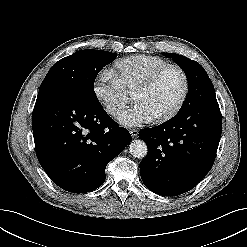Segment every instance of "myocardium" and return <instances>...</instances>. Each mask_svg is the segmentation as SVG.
Segmentation results:
<instances>
[{"instance_id":"obj_1","label":"myocardium","mask_w":247,"mask_h":247,"mask_svg":"<svg viewBox=\"0 0 247 247\" xmlns=\"http://www.w3.org/2000/svg\"><path fill=\"white\" fill-rule=\"evenodd\" d=\"M170 69H175L181 74V76L183 78V90H182V93H181L178 101L170 110H168L164 114H161V115L154 118V120L157 122H163V121H166V120L172 118L173 116H175L180 111V109L184 105V103L187 99L188 93H189V88H190L189 78H188L186 71L181 66H179L177 64H167L165 66H162V67L154 70L150 74H148L142 81H140L136 85V87L134 88L133 93H132V96H134V94L136 92L146 90L156 81V79L161 74H163L165 71L170 70Z\"/></svg>"}]
</instances>
